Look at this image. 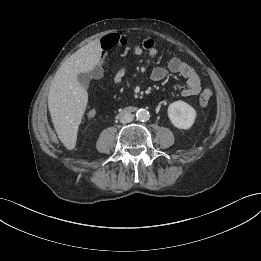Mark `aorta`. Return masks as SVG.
I'll return each mask as SVG.
<instances>
[{"label": "aorta", "mask_w": 261, "mask_h": 261, "mask_svg": "<svg viewBox=\"0 0 261 261\" xmlns=\"http://www.w3.org/2000/svg\"><path fill=\"white\" fill-rule=\"evenodd\" d=\"M136 117L138 120L147 121L150 117L149 112L146 109H139L136 112Z\"/></svg>", "instance_id": "obj_1"}]
</instances>
